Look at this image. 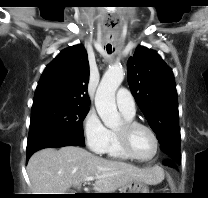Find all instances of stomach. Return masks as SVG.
Masks as SVG:
<instances>
[{"mask_svg": "<svg viewBox=\"0 0 208 198\" xmlns=\"http://www.w3.org/2000/svg\"><path fill=\"white\" fill-rule=\"evenodd\" d=\"M119 195L122 198H145L146 194L140 193H150L148 186L139 181H133L127 184L125 187L119 190Z\"/></svg>", "mask_w": 208, "mask_h": 198, "instance_id": "1", "label": "stomach"}]
</instances>
